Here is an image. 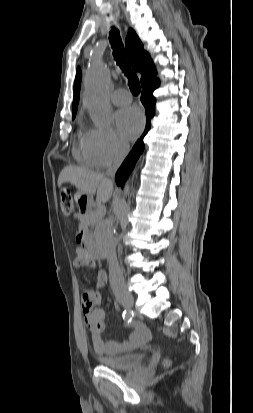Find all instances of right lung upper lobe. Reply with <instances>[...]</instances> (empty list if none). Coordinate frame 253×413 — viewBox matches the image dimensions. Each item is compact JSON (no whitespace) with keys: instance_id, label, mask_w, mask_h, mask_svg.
I'll return each mask as SVG.
<instances>
[{"instance_id":"right-lung-upper-lobe-1","label":"right lung upper lobe","mask_w":253,"mask_h":413,"mask_svg":"<svg viewBox=\"0 0 253 413\" xmlns=\"http://www.w3.org/2000/svg\"><path fill=\"white\" fill-rule=\"evenodd\" d=\"M126 51L129 62L135 71L141 73V82L155 75L156 70L150 56L144 51L143 45L134 30L129 29L126 37ZM81 83V70L78 68L74 82L73 115H76Z\"/></svg>"}]
</instances>
